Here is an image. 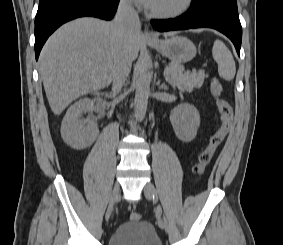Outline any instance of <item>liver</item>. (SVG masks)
<instances>
[{
    "instance_id": "6515ba94",
    "label": "liver",
    "mask_w": 283,
    "mask_h": 245,
    "mask_svg": "<svg viewBox=\"0 0 283 245\" xmlns=\"http://www.w3.org/2000/svg\"><path fill=\"white\" fill-rule=\"evenodd\" d=\"M141 42L139 29L129 48L132 61L138 57ZM123 47L113 21L84 17L53 33L39 57V73L52 112L60 115L80 96L107 87Z\"/></svg>"
}]
</instances>
